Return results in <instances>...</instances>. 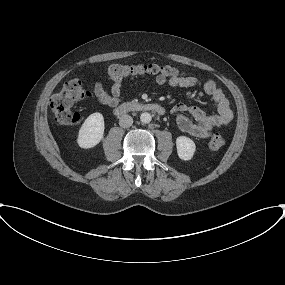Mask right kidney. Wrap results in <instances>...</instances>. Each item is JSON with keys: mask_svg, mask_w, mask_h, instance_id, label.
<instances>
[{"mask_svg": "<svg viewBox=\"0 0 285 285\" xmlns=\"http://www.w3.org/2000/svg\"><path fill=\"white\" fill-rule=\"evenodd\" d=\"M104 118L101 113H93L82 124L77 138L79 147L89 149L95 147L103 139Z\"/></svg>", "mask_w": 285, "mask_h": 285, "instance_id": "ca27d5eb", "label": "right kidney"}]
</instances>
